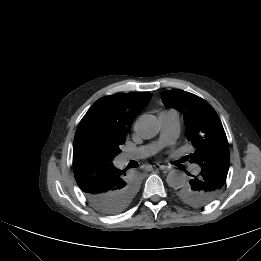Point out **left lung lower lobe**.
<instances>
[{
    "mask_svg": "<svg viewBox=\"0 0 261 261\" xmlns=\"http://www.w3.org/2000/svg\"><path fill=\"white\" fill-rule=\"evenodd\" d=\"M200 167V173L197 176H192L189 183H185V185L187 184L191 190L201 193L204 196V201L208 204L219 195L226 181L229 166L205 163Z\"/></svg>",
    "mask_w": 261,
    "mask_h": 261,
    "instance_id": "obj_1",
    "label": "left lung lower lobe"
}]
</instances>
